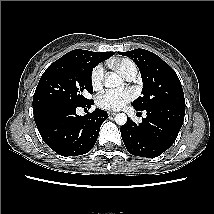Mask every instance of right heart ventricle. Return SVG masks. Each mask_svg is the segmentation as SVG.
I'll use <instances>...</instances> for the list:
<instances>
[{
    "instance_id": "e07e8e85",
    "label": "right heart ventricle",
    "mask_w": 214,
    "mask_h": 214,
    "mask_svg": "<svg viewBox=\"0 0 214 214\" xmlns=\"http://www.w3.org/2000/svg\"><path fill=\"white\" fill-rule=\"evenodd\" d=\"M112 66L125 78L132 70H137L134 62L126 58L113 62Z\"/></svg>"
}]
</instances>
